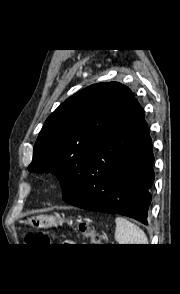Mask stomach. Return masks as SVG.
Here are the masks:
<instances>
[{
    "instance_id": "1",
    "label": "stomach",
    "mask_w": 180,
    "mask_h": 294,
    "mask_svg": "<svg viewBox=\"0 0 180 294\" xmlns=\"http://www.w3.org/2000/svg\"><path fill=\"white\" fill-rule=\"evenodd\" d=\"M62 223V220H59L54 216L45 215H33L26 220V224L34 228H49L61 225Z\"/></svg>"
}]
</instances>
